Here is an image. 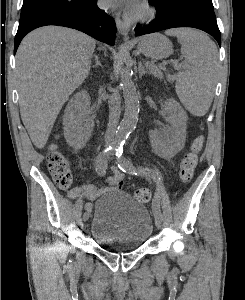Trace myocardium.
Listing matches in <instances>:
<instances>
[{
  "mask_svg": "<svg viewBox=\"0 0 245 300\" xmlns=\"http://www.w3.org/2000/svg\"><path fill=\"white\" fill-rule=\"evenodd\" d=\"M154 15V10L147 2H142L139 11L133 15V19L136 21H147Z\"/></svg>",
  "mask_w": 245,
  "mask_h": 300,
  "instance_id": "obj_1",
  "label": "myocardium"
}]
</instances>
